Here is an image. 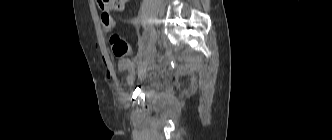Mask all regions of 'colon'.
I'll use <instances>...</instances> for the list:
<instances>
[{
	"mask_svg": "<svg viewBox=\"0 0 332 140\" xmlns=\"http://www.w3.org/2000/svg\"><path fill=\"white\" fill-rule=\"evenodd\" d=\"M126 0H97L98 6L104 11L100 17L101 26L106 32H112L115 28V21L108 11L120 10L124 7ZM112 51L117 57H126L131 49L125 40L118 35H113L110 39Z\"/></svg>",
	"mask_w": 332,
	"mask_h": 140,
	"instance_id": "colon-1",
	"label": "colon"
}]
</instances>
